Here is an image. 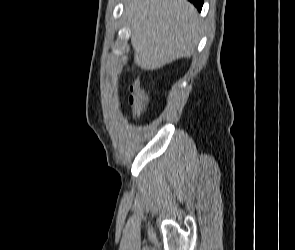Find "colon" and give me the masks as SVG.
Wrapping results in <instances>:
<instances>
[{"instance_id":"5ec220e1","label":"colon","mask_w":295,"mask_h":250,"mask_svg":"<svg viewBox=\"0 0 295 250\" xmlns=\"http://www.w3.org/2000/svg\"><path fill=\"white\" fill-rule=\"evenodd\" d=\"M128 102L135 117L140 116L146 108V93L138 81L129 86Z\"/></svg>"}]
</instances>
